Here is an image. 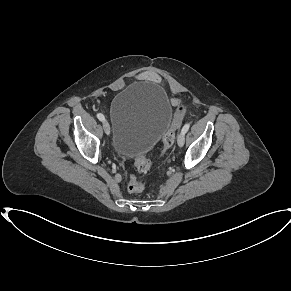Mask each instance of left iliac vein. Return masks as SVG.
<instances>
[{
  "label": "left iliac vein",
  "mask_w": 291,
  "mask_h": 291,
  "mask_svg": "<svg viewBox=\"0 0 291 291\" xmlns=\"http://www.w3.org/2000/svg\"><path fill=\"white\" fill-rule=\"evenodd\" d=\"M184 142H185V134L181 132L177 139L178 146L182 147L184 145Z\"/></svg>",
  "instance_id": "obj_1"
}]
</instances>
